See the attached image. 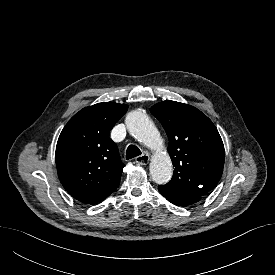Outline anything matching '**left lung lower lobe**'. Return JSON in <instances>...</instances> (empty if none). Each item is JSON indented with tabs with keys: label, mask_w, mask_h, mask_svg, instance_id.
I'll list each match as a JSON object with an SVG mask.
<instances>
[{
	"label": "left lung lower lobe",
	"mask_w": 275,
	"mask_h": 275,
	"mask_svg": "<svg viewBox=\"0 0 275 275\" xmlns=\"http://www.w3.org/2000/svg\"><path fill=\"white\" fill-rule=\"evenodd\" d=\"M159 191L164 197H166V199L168 201H170L171 203H173L174 205H177V206L191 205V204L196 203L200 200L199 196H190V197L180 198V199L171 198V197L167 196L161 189H159Z\"/></svg>",
	"instance_id": "0a47b994"
}]
</instances>
